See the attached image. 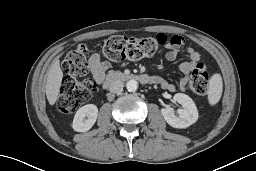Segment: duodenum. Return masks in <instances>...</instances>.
<instances>
[{
	"mask_svg": "<svg viewBox=\"0 0 256 171\" xmlns=\"http://www.w3.org/2000/svg\"><path fill=\"white\" fill-rule=\"evenodd\" d=\"M130 80H136L142 84L153 82V78L145 74L112 72L106 77L103 86L108 88L114 82H127Z\"/></svg>",
	"mask_w": 256,
	"mask_h": 171,
	"instance_id": "duodenum-1",
	"label": "duodenum"
}]
</instances>
